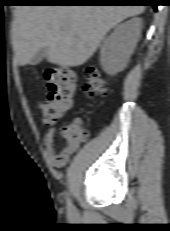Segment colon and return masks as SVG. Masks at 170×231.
<instances>
[{
  "label": "colon",
  "instance_id": "5ec220e1",
  "mask_svg": "<svg viewBox=\"0 0 170 231\" xmlns=\"http://www.w3.org/2000/svg\"><path fill=\"white\" fill-rule=\"evenodd\" d=\"M48 86L47 98L40 102L44 123L53 124L61 119L73 106L76 91L74 73L68 68H54L46 72ZM83 92L88 96L105 97L109 93V86L95 67H88L85 71ZM66 147L75 150L89 137L87 129L81 124L70 123L62 129Z\"/></svg>",
  "mask_w": 170,
  "mask_h": 231
}]
</instances>
